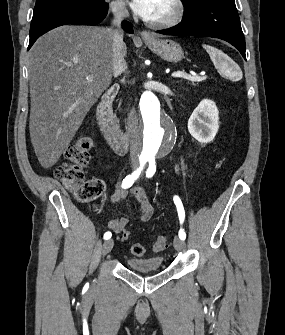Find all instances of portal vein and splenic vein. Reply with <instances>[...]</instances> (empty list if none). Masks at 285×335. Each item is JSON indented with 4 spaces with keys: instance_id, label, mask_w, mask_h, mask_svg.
Returning <instances> with one entry per match:
<instances>
[{
    "instance_id": "18ae733b",
    "label": "portal vein and splenic vein",
    "mask_w": 285,
    "mask_h": 335,
    "mask_svg": "<svg viewBox=\"0 0 285 335\" xmlns=\"http://www.w3.org/2000/svg\"><path fill=\"white\" fill-rule=\"evenodd\" d=\"M173 78H185V80H191V82H202L206 80V76H193V74H185V72H173ZM88 82H93V76H86Z\"/></svg>"
}]
</instances>
